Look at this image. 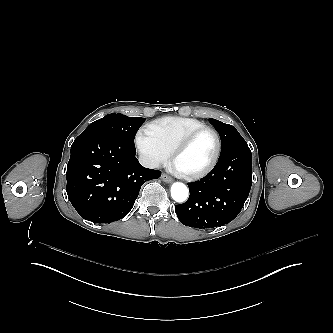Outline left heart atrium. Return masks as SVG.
<instances>
[{
	"mask_svg": "<svg viewBox=\"0 0 333 333\" xmlns=\"http://www.w3.org/2000/svg\"><path fill=\"white\" fill-rule=\"evenodd\" d=\"M171 171L175 174H179L180 171H178V169H176L174 166H171Z\"/></svg>",
	"mask_w": 333,
	"mask_h": 333,
	"instance_id": "39dd6f15",
	"label": "left heart atrium"
}]
</instances>
